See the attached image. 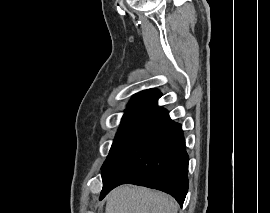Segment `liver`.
Returning <instances> with one entry per match:
<instances>
[{
    "label": "liver",
    "instance_id": "liver-1",
    "mask_svg": "<svg viewBox=\"0 0 270 213\" xmlns=\"http://www.w3.org/2000/svg\"><path fill=\"white\" fill-rule=\"evenodd\" d=\"M178 204L162 192L120 186L107 197L105 213H177Z\"/></svg>",
    "mask_w": 270,
    "mask_h": 213
}]
</instances>
